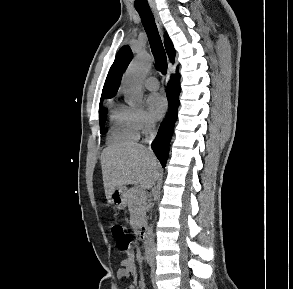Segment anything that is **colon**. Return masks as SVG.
I'll return each mask as SVG.
<instances>
[{"label": "colon", "mask_w": 293, "mask_h": 289, "mask_svg": "<svg viewBox=\"0 0 293 289\" xmlns=\"http://www.w3.org/2000/svg\"><path fill=\"white\" fill-rule=\"evenodd\" d=\"M110 231L119 249L123 252H130L133 238L126 228L120 223L112 222L110 224Z\"/></svg>", "instance_id": "colon-1"}]
</instances>
